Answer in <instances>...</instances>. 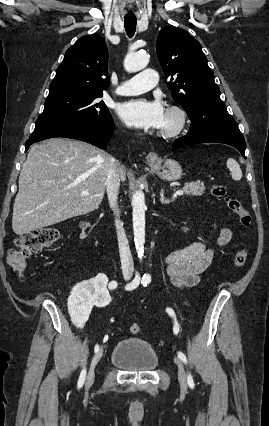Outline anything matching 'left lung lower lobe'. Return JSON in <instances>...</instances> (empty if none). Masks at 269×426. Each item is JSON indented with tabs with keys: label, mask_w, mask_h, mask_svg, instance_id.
<instances>
[{
	"label": "left lung lower lobe",
	"mask_w": 269,
	"mask_h": 426,
	"mask_svg": "<svg viewBox=\"0 0 269 426\" xmlns=\"http://www.w3.org/2000/svg\"><path fill=\"white\" fill-rule=\"evenodd\" d=\"M189 118L190 131L174 141L173 151L193 144L219 142L235 147L246 158L244 137L225 106L200 109Z\"/></svg>",
	"instance_id": "1"
}]
</instances>
